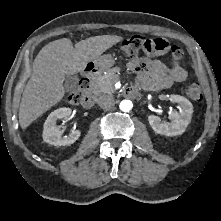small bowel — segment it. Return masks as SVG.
Instances as JSON below:
<instances>
[{"label": "small bowel", "mask_w": 221, "mask_h": 221, "mask_svg": "<svg viewBox=\"0 0 221 221\" xmlns=\"http://www.w3.org/2000/svg\"><path fill=\"white\" fill-rule=\"evenodd\" d=\"M162 51L144 50L149 56H157ZM168 60L178 61L181 53L178 50L168 49L165 52ZM128 68L137 75V85L148 91H158L169 88L175 82H182L187 78V71L178 63L174 62L171 66H167L158 59L149 57H138L132 59L128 63Z\"/></svg>", "instance_id": "obj_1"}]
</instances>
